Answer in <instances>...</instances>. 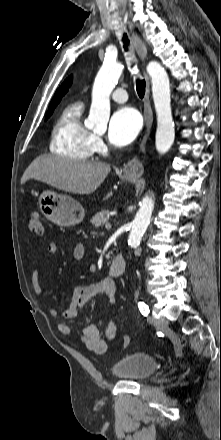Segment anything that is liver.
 <instances>
[{"label": "liver", "mask_w": 221, "mask_h": 440, "mask_svg": "<svg viewBox=\"0 0 221 440\" xmlns=\"http://www.w3.org/2000/svg\"><path fill=\"white\" fill-rule=\"evenodd\" d=\"M110 171V165L103 162L42 155L29 165L21 183L35 179L66 192L89 195L101 185Z\"/></svg>", "instance_id": "1"}]
</instances>
